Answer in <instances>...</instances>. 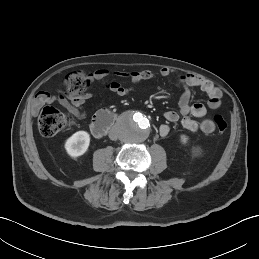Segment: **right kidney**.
<instances>
[{
  "instance_id": "ca27d5eb",
  "label": "right kidney",
  "mask_w": 259,
  "mask_h": 259,
  "mask_svg": "<svg viewBox=\"0 0 259 259\" xmlns=\"http://www.w3.org/2000/svg\"><path fill=\"white\" fill-rule=\"evenodd\" d=\"M90 143V135L86 131H78L65 142V149L73 158L83 155Z\"/></svg>"
}]
</instances>
